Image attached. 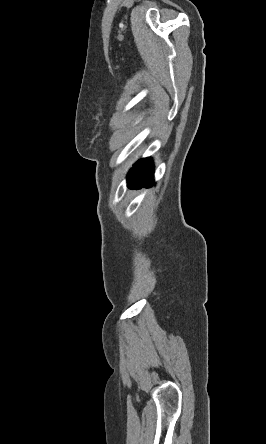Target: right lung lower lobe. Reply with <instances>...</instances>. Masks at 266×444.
I'll return each instance as SVG.
<instances>
[{
	"instance_id": "98d812e1",
	"label": "right lung lower lobe",
	"mask_w": 266,
	"mask_h": 444,
	"mask_svg": "<svg viewBox=\"0 0 266 444\" xmlns=\"http://www.w3.org/2000/svg\"><path fill=\"white\" fill-rule=\"evenodd\" d=\"M154 165L151 158L139 160L129 171L127 184L130 188H140L154 184Z\"/></svg>"
}]
</instances>
